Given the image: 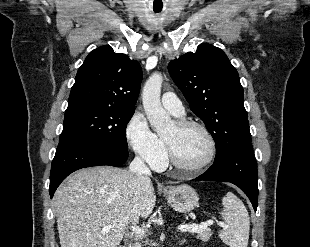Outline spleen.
<instances>
[{
  "label": "spleen",
  "mask_w": 310,
  "mask_h": 247,
  "mask_svg": "<svg viewBox=\"0 0 310 247\" xmlns=\"http://www.w3.org/2000/svg\"><path fill=\"white\" fill-rule=\"evenodd\" d=\"M222 204L225 226L219 232L220 239L230 247H247L250 218L246 207L232 192L223 197Z\"/></svg>",
  "instance_id": "3e777b00"
}]
</instances>
